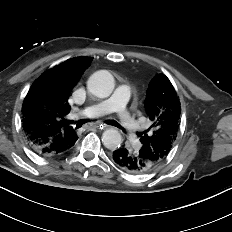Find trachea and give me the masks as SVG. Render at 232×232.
<instances>
[{
    "mask_svg": "<svg viewBox=\"0 0 232 232\" xmlns=\"http://www.w3.org/2000/svg\"><path fill=\"white\" fill-rule=\"evenodd\" d=\"M86 122H90V120H89V119H82V120H79V121L77 122V124H76V128L82 127V125L85 124ZM106 123L109 124V125L118 127V128H120V129L123 130V128L121 127V125H120L117 121H114V120H107Z\"/></svg>",
    "mask_w": 232,
    "mask_h": 232,
    "instance_id": "obj_1",
    "label": "trachea"
}]
</instances>
